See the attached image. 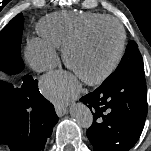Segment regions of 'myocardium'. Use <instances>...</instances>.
<instances>
[{"label": "myocardium", "mask_w": 151, "mask_h": 151, "mask_svg": "<svg viewBox=\"0 0 151 151\" xmlns=\"http://www.w3.org/2000/svg\"><path fill=\"white\" fill-rule=\"evenodd\" d=\"M106 23H112L118 29L119 46H118L117 54L114 60L111 62V64L103 72L92 78L83 80L84 83H86L87 85L93 86L103 83L115 72V70L121 63L126 47V31L123 24L114 17L111 16L104 17L86 26L79 34H77L74 38L68 41L62 48V56H63L64 63L68 68L71 69V63H70L71 51L77 48L78 46H80L94 29Z\"/></svg>", "instance_id": "myocardium-1"}]
</instances>
